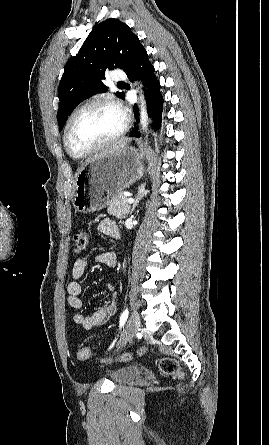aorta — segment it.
<instances>
[{
	"label": "aorta",
	"mask_w": 269,
	"mask_h": 445,
	"mask_svg": "<svg viewBox=\"0 0 269 445\" xmlns=\"http://www.w3.org/2000/svg\"><path fill=\"white\" fill-rule=\"evenodd\" d=\"M140 100H141V108H140V119H141V125L142 129L144 131L147 130L148 120H147V110H146V102L144 99V95L140 94Z\"/></svg>",
	"instance_id": "1"
}]
</instances>
